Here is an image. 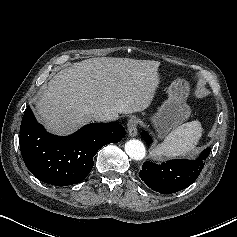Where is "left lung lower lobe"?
Here are the masks:
<instances>
[{
    "label": "left lung lower lobe",
    "mask_w": 237,
    "mask_h": 237,
    "mask_svg": "<svg viewBox=\"0 0 237 237\" xmlns=\"http://www.w3.org/2000/svg\"><path fill=\"white\" fill-rule=\"evenodd\" d=\"M141 136L148 144L152 143L147 132L142 131ZM210 150L205 149L196 160H171L161 165L144 162L139 176L154 191L161 194L175 193L190 186L197 179Z\"/></svg>",
    "instance_id": "0a47b994"
}]
</instances>
